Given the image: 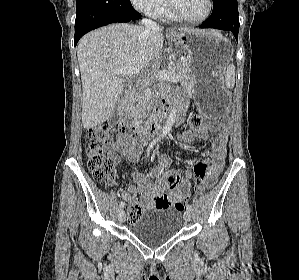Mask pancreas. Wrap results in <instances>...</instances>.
<instances>
[{
  "instance_id": "obj_1",
  "label": "pancreas",
  "mask_w": 299,
  "mask_h": 280,
  "mask_svg": "<svg viewBox=\"0 0 299 280\" xmlns=\"http://www.w3.org/2000/svg\"><path fill=\"white\" fill-rule=\"evenodd\" d=\"M180 78L182 86L191 89L193 84V78L191 75L190 64L189 61L182 63L180 65ZM132 113L136 118L140 117L141 107L140 104L132 107Z\"/></svg>"
}]
</instances>
